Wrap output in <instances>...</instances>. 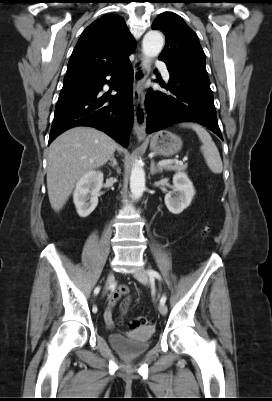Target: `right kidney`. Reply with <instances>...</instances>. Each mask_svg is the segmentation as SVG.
<instances>
[{"instance_id": "ca27d5eb", "label": "right kidney", "mask_w": 272, "mask_h": 401, "mask_svg": "<svg viewBox=\"0 0 272 401\" xmlns=\"http://www.w3.org/2000/svg\"><path fill=\"white\" fill-rule=\"evenodd\" d=\"M102 184L101 171H89L78 180L73 193V202L80 217H87L97 207Z\"/></svg>"}]
</instances>
